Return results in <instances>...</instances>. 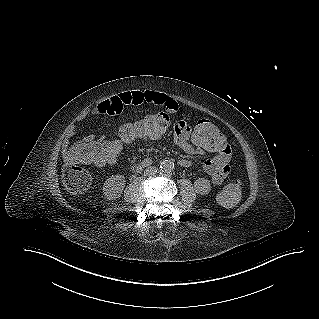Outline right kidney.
Returning a JSON list of instances; mask_svg holds the SVG:
<instances>
[{
  "mask_svg": "<svg viewBox=\"0 0 319 319\" xmlns=\"http://www.w3.org/2000/svg\"><path fill=\"white\" fill-rule=\"evenodd\" d=\"M126 180L122 175H112L103 185V193L107 200H114L121 196Z\"/></svg>",
  "mask_w": 319,
  "mask_h": 319,
  "instance_id": "1",
  "label": "right kidney"
}]
</instances>
